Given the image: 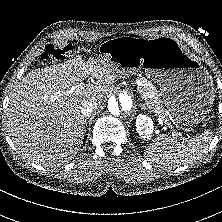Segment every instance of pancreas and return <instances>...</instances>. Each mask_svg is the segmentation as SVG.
Here are the masks:
<instances>
[{"label": "pancreas", "mask_w": 222, "mask_h": 222, "mask_svg": "<svg viewBox=\"0 0 222 222\" xmlns=\"http://www.w3.org/2000/svg\"><path fill=\"white\" fill-rule=\"evenodd\" d=\"M141 86L138 88L142 98L146 101L149 109L163 120L167 121L166 110L163 108L156 87L144 77L139 78Z\"/></svg>", "instance_id": "1"}]
</instances>
